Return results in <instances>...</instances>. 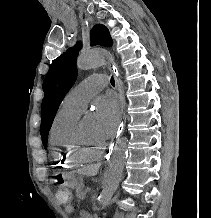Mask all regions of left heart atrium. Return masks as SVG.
Returning <instances> with one entry per match:
<instances>
[{
    "label": "left heart atrium",
    "instance_id": "obj_1",
    "mask_svg": "<svg viewBox=\"0 0 211 218\" xmlns=\"http://www.w3.org/2000/svg\"><path fill=\"white\" fill-rule=\"evenodd\" d=\"M96 130L104 140L110 138L120 122V109L116 97L111 93L101 95L95 100Z\"/></svg>",
    "mask_w": 211,
    "mask_h": 218
}]
</instances>
